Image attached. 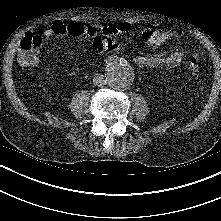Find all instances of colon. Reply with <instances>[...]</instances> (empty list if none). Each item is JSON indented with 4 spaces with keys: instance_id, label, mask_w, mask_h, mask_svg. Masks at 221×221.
I'll list each match as a JSON object with an SVG mask.
<instances>
[{
    "instance_id": "1",
    "label": "colon",
    "mask_w": 221,
    "mask_h": 221,
    "mask_svg": "<svg viewBox=\"0 0 221 221\" xmlns=\"http://www.w3.org/2000/svg\"><path fill=\"white\" fill-rule=\"evenodd\" d=\"M41 40L37 35L27 34L21 40L17 61L22 67H33L39 61V49ZM188 69L191 75L200 81L201 65L196 57H192L188 62Z\"/></svg>"
}]
</instances>
